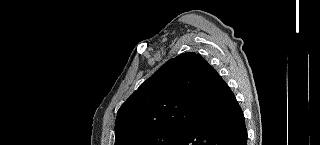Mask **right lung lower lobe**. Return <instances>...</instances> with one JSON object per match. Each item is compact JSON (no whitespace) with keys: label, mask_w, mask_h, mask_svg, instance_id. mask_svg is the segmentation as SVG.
<instances>
[{"label":"right lung lower lobe","mask_w":320,"mask_h":145,"mask_svg":"<svg viewBox=\"0 0 320 145\" xmlns=\"http://www.w3.org/2000/svg\"><path fill=\"white\" fill-rule=\"evenodd\" d=\"M219 92L216 110L203 120L189 124L171 145H246L244 115L225 81Z\"/></svg>","instance_id":"98d812e1"}]
</instances>
